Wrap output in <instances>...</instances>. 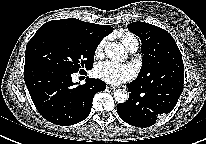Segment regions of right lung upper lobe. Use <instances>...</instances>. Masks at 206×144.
Segmentation results:
<instances>
[{
	"label": "right lung upper lobe",
	"mask_w": 206,
	"mask_h": 144,
	"mask_svg": "<svg viewBox=\"0 0 206 144\" xmlns=\"http://www.w3.org/2000/svg\"><path fill=\"white\" fill-rule=\"evenodd\" d=\"M43 27H54L68 30L92 40L101 41L106 35L113 31L109 25H98L88 22H83L79 19H61L53 20L42 25Z\"/></svg>",
	"instance_id": "cb5924a9"
}]
</instances>
